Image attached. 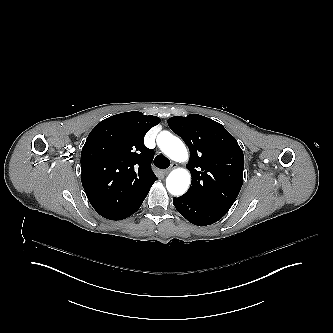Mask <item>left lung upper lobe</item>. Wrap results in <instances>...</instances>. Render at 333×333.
Returning <instances> with one entry per match:
<instances>
[{
  "label": "left lung upper lobe",
  "mask_w": 333,
  "mask_h": 333,
  "mask_svg": "<svg viewBox=\"0 0 333 333\" xmlns=\"http://www.w3.org/2000/svg\"><path fill=\"white\" fill-rule=\"evenodd\" d=\"M168 125L190 150L192 182L184 196L231 207L243 183L244 155L237 140L223 125L198 114L172 117Z\"/></svg>",
  "instance_id": "left-lung-upper-lobe-1"
}]
</instances>
